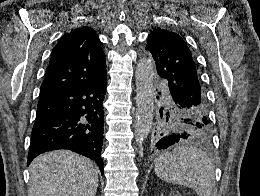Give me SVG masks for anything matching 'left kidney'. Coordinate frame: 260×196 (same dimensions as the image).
<instances>
[{
	"mask_svg": "<svg viewBox=\"0 0 260 196\" xmlns=\"http://www.w3.org/2000/svg\"><path fill=\"white\" fill-rule=\"evenodd\" d=\"M173 196H179V194H173Z\"/></svg>",
	"mask_w": 260,
	"mask_h": 196,
	"instance_id": "5707ae66",
	"label": "left kidney"
}]
</instances>
